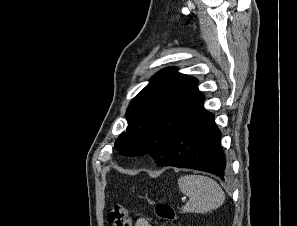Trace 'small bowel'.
Listing matches in <instances>:
<instances>
[{
    "label": "small bowel",
    "mask_w": 297,
    "mask_h": 226,
    "mask_svg": "<svg viewBox=\"0 0 297 226\" xmlns=\"http://www.w3.org/2000/svg\"><path fill=\"white\" fill-rule=\"evenodd\" d=\"M136 226H151L147 220L141 218L137 221Z\"/></svg>",
    "instance_id": "1"
}]
</instances>
